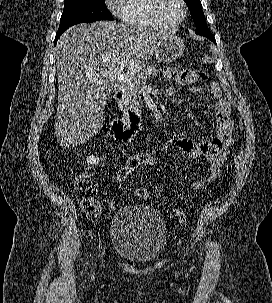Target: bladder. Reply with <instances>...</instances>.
Returning <instances> with one entry per match:
<instances>
[{
	"label": "bladder",
	"instance_id": "31cf9c89",
	"mask_svg": "<svg viewBox=\"0 0 272 303\" xmlns=\"http://www.w3.org/2000/svg\"><path fill=\"white\" fill-rule=\"evenodd\" d=\"M114 252L135 264L156 261L167 244V227L162 215L146 205L129 204L114 215L110 226Z\"/></svg>",
	"mask_w": 272,
	"mask_h": 303
}]
</instances>
